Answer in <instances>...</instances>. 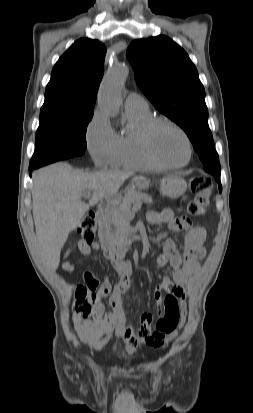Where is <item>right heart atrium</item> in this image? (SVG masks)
<instances>
[{
    "mask_svg": "<svg viewBox=\"0 0 253 413\" xmlns=\"http://www.w3.org/2000/svg\"><path fill=\"white\" fill-rule=\"evenodd\" d=\"M86 142L96 166L105 167L110 164L117 144V134L103 112L94 113L86 130Z\"/></svg>",
    "mask_w": 253,
    "mask_h": 413,
    "instance_id": "obj_1",
    "label": "right heart atrium"
}]
</instances>
